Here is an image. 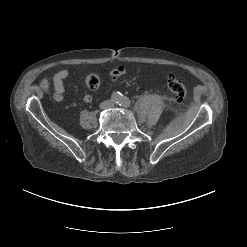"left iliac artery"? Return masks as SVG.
I'll return each mask as SVG.
<instances>
[{"label": "left iliac artery", "mask_w": 247, "mask_h": 247, "mask_svg": "<svg viewBox=\"0 0 247 247\" xmlns=\"http://www.w3.org/2000/svg\"><path fill=\"white\" fill-rule=\"evenodd\" d=\"M119 105L124 106V107H129L131 105V102L129 98H127L126 96H121Z\"/></svg>", "instance_id": "left-iliac-artery-1"}]
</instances>
